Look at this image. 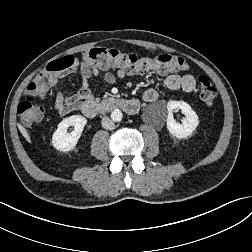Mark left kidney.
<instances>
[{
    "mask_svg": "<svg viewBox=\"0 0 252 252\" xmlns=\"http://www.w3.org/2000/svg\"><path fill=\"white\" fill-rule=\"evenodd\" d=\"M181 110L185 117L182 119V124L175 121L172 112ZM167 129L176 138H186L190 136L199 124L198 116L192 110L189 104L184 101H169L167 103Z\"/></svg>",
    "mask_w": 252,
    "mask_h": 252,
    "instance_id": "left-kidney-1",
    "label": "left kidney"
}]
</instances>
